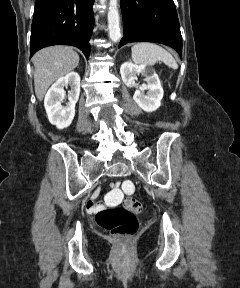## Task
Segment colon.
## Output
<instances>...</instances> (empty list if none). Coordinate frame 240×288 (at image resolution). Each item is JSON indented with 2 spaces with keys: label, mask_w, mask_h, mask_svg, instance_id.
Instances as JSON below:
<instances>
[{
  "label": "colon",
  "mask_w": 240,
  "mask_h": 288,
  "mask_svg": "<svg viewBox=\"0 0 240 288\" xmlns=\"http://www.w3.org/2000/svg\"><path fill=\"white\" fill-rule=\"evenodd\" d=\"M126 192L133 190L130 182L123 184ZM142 210V204L132 198L125 200L124 205L114 208H105L96 213L95 219L99 227L119 239H129L138 230L137 214Z\"/></svg>",
  "instance_id": "colon-1"
}]
</instances>
